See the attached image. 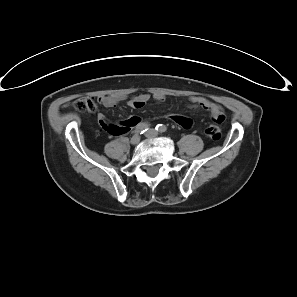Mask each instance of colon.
Here are the masks:
<instances>
[{
  "label": "colon",
  "instance_id": "1",
  "mask_svg": "<svg viewBox=\"0 0 297 297\" xmlns=\"http://www.w3.org/2000/svg\"><path fill=\"white\" fill-rule=\"evenodd\" d=\"M73 106L80 112L93 113L97 110L98 105L94 99H78L73 102ZM217 123L223 121L222 118L215 120ZM205 135L211 140H218L221 136V130L218 125H210L205 129Z\"/></svg>",
  "mask_w": 297,
  "mask_h": 297
}]
</instances>
